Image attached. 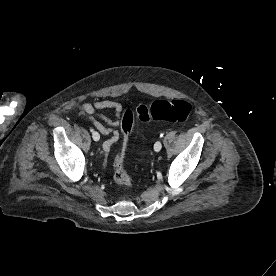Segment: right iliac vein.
Returning a JSON list of instances; mask_svg holds the SVG:
<instances>
[{
  "mask_svg": "<svg viewBox=\"0 0 276 276\" xmlns=\"http://www.w3.org/2000/svg\"><path fill=\"white\" fill-rule=\"evenodd\" d=\"M92 137H93V139H94L95 141H98V140H96V139L99 137V133L94 131V132L92 133Z\"/></svg>",
  "mask_w": 276,
  "mask_h": 276,
  "instance_id": "right-iliac-vein-1",
  "label": "right iliac vein"
}]
</instances>
